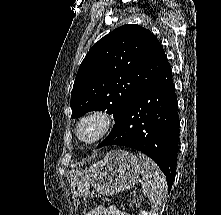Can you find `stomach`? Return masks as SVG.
I'll list each match as a JSON object with an SVG mask.
<instances>
[{
    "mask_svg": "<svg viewBox=\"0 0 221 215\" xmlns=\"http://www.w3.org/2000/svg\"><path fill=\"white\" fill-rule=\"evenodd\" d=\"M139 173L140 163L135 155L112 150L83 170H70L69 178L75 196L88 195L90 187L102 196H112L131 189Z\"/></svg>",
    "mask_w": 221,
    "mask_h": 215,
    "instance_id": "stomach-1",
    "label": "stomach"
}]
</instances>
